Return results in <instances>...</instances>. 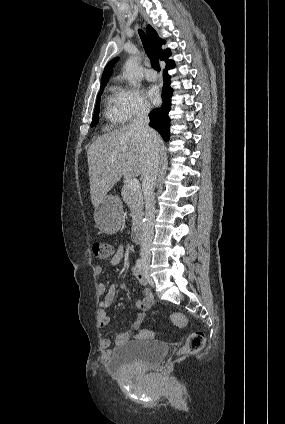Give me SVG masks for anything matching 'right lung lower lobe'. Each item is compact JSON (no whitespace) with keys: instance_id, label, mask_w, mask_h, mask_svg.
<instances>
[{"instance_id":"1","label":"right lung lower lobe","mask_w":285,"mask_h":424,"mask_svg":"<svg viewBox=\"0 0 285 424\" xmlns=\"http://www.w3.org/2000/svg\"><path fill=\"white\" fill-rule=\"evenodd\" d=\"M174 66V62H171L166 65L165 70L163 71V80L164 85L162 89V99L163 104L160 108L153 110L149 114L150 123L149 125L155 128L164 140L168 141L170 136V118L168 113L170 111L171 106V97L173 89L170 87V75L168 74V70Z\"/></svg>"}]
</instances>
